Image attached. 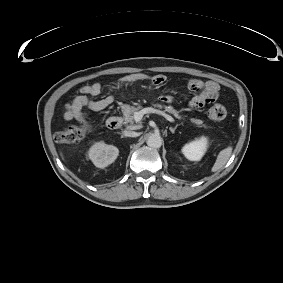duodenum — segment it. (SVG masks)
Instances as JSON below:
<instances>
[{
    "label": "duodenum",
    "mask_w": 283,
    "mask_h": 283,
    "mask_svg": "<svg viewBox=\"0 0 283 283\" xmlns=\"http://www.w3.org/2000/svg\"><path fill=\"white\" fill-rule=\"evenodd\" d=\"M122 124V120L120 117L112 116L106 120V126L110 130H115L119 128Z\"/></svg>",
    "instance_id": "410a0bca"
}]
</instances>
